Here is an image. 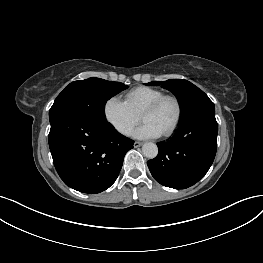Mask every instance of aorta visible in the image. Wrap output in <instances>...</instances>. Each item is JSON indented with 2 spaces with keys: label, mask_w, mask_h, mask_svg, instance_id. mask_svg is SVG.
Returning <instances> with one entry per match:
<instances>
[{
  "label": "aorta",
  "mask_w": 263,
  "mask_h": 263,
  "mask_svg": "<svg viewBox=\"0 0 263 263\" xmlns=\"http://www.w3.org/2000/svg\"><path fill=\"white\" fill-rule=\"evenodd\" d=\"M142 153L147 158H155L158 154V147L155 143L147 142L142 146Z\"/></svg>",
  "instance_id": "aorta-1"
}]
</instances>
